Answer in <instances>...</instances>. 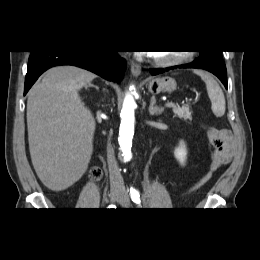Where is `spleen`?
<instances>
[{
    "label": "spleen",
    "instance_id": "spleen-1",
    "mask_svg": "<svg viewBox=\"0 0 260 260\" xmlns=\"http://www.w3.org/2000/svg\"><path fill=\"white\" fill-rule=\"evenodd\" d=\"M206 84L207 93L211 100V109L216 117H222L225 113V97L219 84L214 78L204 71H194Z\"/></svg>",
    "mask_w": 260,
    "mask_h": 260
}]
</instances>
